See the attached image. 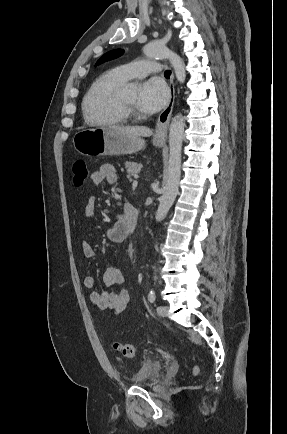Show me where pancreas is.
I'll list each match as a JSON object with an SVG mask.
<instances>
[{"mask_svg": "<svg viewBox=\"0 0 287 434\" xmlns=\"http://www.w3.org/2000/svg\"><path fill=\"white\" fill-rule=\"evenodd\" d=\"M141 168H142V164L126 161L125 169L127 171V178L131 180L132 177H136L138 173H140Z\"/></svg>", "mask_w": 287, "mask_h": 434, "instance_id": "cf45deb5", "label": "pancreas"}]
</instances>
